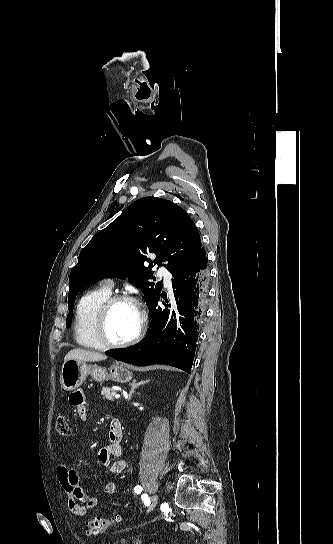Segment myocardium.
<instances>
[{
	"label": "myocardium",
	"instance_id": "obj_1",
	"mask_svg": "<svg viewBox=\"0 0 333 544\" xmlns=\"http://www.w3.org/2000/svg\"><path fill=\"white\" fill-rule=\"evenodd\" d=\"M119 303H129L135 306L140 315V323L135 334L129 339L121 342L110 340L107 334V320L113 307ZM146 328L145 315L138 302L126 294L110 295L97 310L94 320V334L97 341L105 348H125L136 343L143 335Z\"/></svg>",
	"mask_w": 333,
	"mask_h": 544
}]
</instances>
